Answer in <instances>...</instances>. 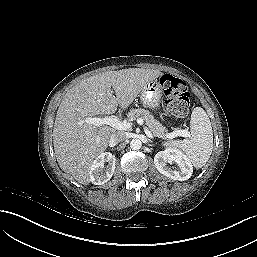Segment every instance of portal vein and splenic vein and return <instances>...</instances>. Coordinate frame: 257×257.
I'll use <instances>...</instances> for the list:
<instances>
[{"instance_id": "obj_1", "label": "portal vein and splenic vein", "mask_w": 257, "mask_h": 257, "mask_svg": "<svg viewBox=\"0 0 257 257\" xmlns=\"http://www.w3.org/2000/svg\"><path fill=\"white\" fill-rule=\"evenodd\" d=\"M85 122L89 123V124H93V125H95L97 127H100L102 125H109V126L115 128L117 130H127V129L131 128V126H132V123L122 122L119 119L113 118L111 116H105L103 118L87 117V118H85ZM137 123L139 125H143L144 121H143L142 118H138L137 119ZM143 129H144L145 134L148 137L153 138L152 133L147 129V127L143 126ZM177 136L188 137L189 133H188L187 130L179 129V130H176V131H174L172 133H168L167 134V137L169 139H172V138L177 137Z\"/></svg>"}]
</instances>
